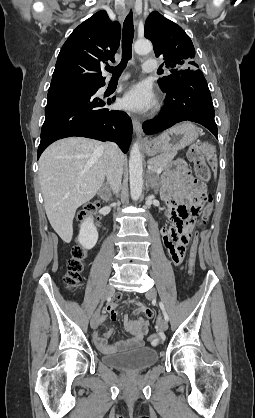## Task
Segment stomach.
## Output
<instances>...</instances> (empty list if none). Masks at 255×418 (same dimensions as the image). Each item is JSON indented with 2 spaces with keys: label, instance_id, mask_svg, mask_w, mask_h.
<instances>
[{
  "label": "stomach",
  "instance_id": "stomach-1",
  "mask_svg": "<svg viewBox=\"0 0 255 418\" xmlns=\"http://www.w3.org/2000/svg\"><path fill=\"white\" fill-rule=\"evenodd\" d=\"M198 134V128L192 123H181L148 141L145 144V151L150 156L177 152L193 143L198 138Z\"/></svg>",
  "mask_w": 255,
  "mask_h": 418
}]
</instances>
